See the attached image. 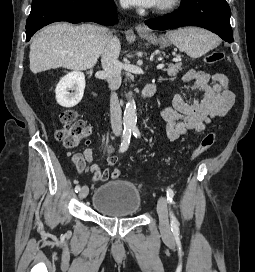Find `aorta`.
Instances as JSON below:
<instances>
[{"label":"aorta","mask_w":255,"mask_h":272,"mask_svg":"<svg viewBox=\"0 0 255 272\" xmlns=\"http://www.w3.org/2000/svg\"><path fill=\"white\" fill-rule=\"evenodd\" d=\"M123 123L125 129H133L136 127L137 114H136V104L134 100H129L126 103L124 110Z\"/></svg>","instance_id":"obj_1"}]
</instances>
